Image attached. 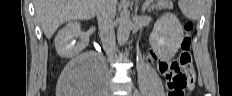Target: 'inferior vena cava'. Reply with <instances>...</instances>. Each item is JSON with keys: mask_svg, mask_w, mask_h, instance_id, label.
Listing matches in <instances>:
<instances>
[{"mask_svg": "<svg viewBox=\"0 0 232 96\" xmlns=\"http://www.w3.org/2000/svg\"><path fill=\"white\" fill-rule=\"evenodd\" d=\"M116 14V0H99L97 20L104 50L109 57L115 52V32L113 19Z\"/></svg>", "mask_w": 232, "mask_h": 96, "instance_id": "inferior-vena-cava-1", "label": "inferior vena cava"}]
</instances>
